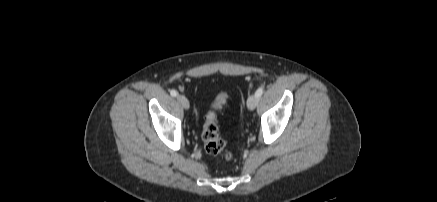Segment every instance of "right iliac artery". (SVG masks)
Listing matches in <instances>:
<instances>
[{
    "label": "right iliac artery",
    "instance_id": "right-iliac-artery-1",
    "mask_svg": "<svg viewBox=\"0 0 437 202\" xmlns=\"http://www.w3.org/2000/svg\"><path fill=\"white\" fill-rule=\"evenodd\" d=\"M171 96L176 97L178 95V92L176 90L170 91Z\"/></svg>",
    "mask_w": 437,
    "mask_h": 202
}]
</instances>
